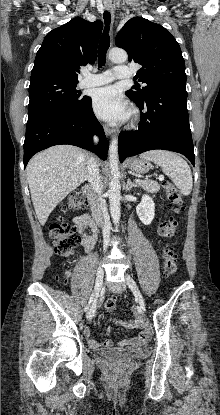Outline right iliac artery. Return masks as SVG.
Wrapping results in <instances>:
<instances>
[{
    "label": "right iliac artery",
    "mask_w": 220,
    "mask_h": 415,
    "mask_svg": "<svg viewBox=\"0 0 220 415\" xmlns=\"http://www.w3.org/2000/svg\"><path fill=\"white\" fill-rule=\"evenodd\" d=\"M94 299H95V295H94V293H92L90 298H89L88 304L84 308L85 312H87L89 310L90 304L94 301Z\"/></svg>",
    "instance_id": "right-iliac-artery-1"
}]
</instances>
